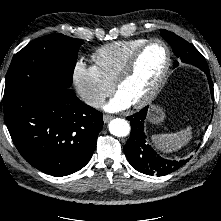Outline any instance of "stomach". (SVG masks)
Instances as JSON below:
<instances>
[{
	"label": "stomach",
	"instance_id": "0dacf381",
	"mask_svg": "<svg viewBox=\"0 0 221 221\" xmlns=\"http://www.w3.org/2000/svg\"><path fill=\"white\" fill-rule=\"evenodd\" d=\"M165 113L163 108L153 105L148 114V121L153 124H160L164 121Z\"/></svg>",
	"mask_w": 221,
	"mask_h": 221
}]
</instances>
